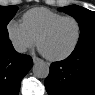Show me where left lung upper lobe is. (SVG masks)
Listing matches in <instances>:
<instances>
[{
    "instance_id": "obj_1",
    "label": "left lung upper lobe",
    "mask_w": 95,
    "mask_h": 95,
    "mask_svg": "<svg viewBox=\"0 0 95 95\" xmlns=\"http://www.w3.org/2000/svg\"><path fill=\"white\" fill-rule=\"evenodd\" d=\"M60 10L73 16L79 22L81 33L77 46L95 39V12L76 5L60 8Z\"/></svg>"
}]
</instances>
